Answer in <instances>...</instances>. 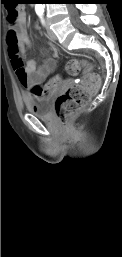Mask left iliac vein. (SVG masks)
<instances>
[{"mask_svg":"<svg viewBox=\"0 0 122 257\" xmlns=\"http://www.w3.org/2000/svg\"><path fill=\"white\" fill-rule=\"evenodd\" d=\"M46 26H47V34H48L49 39L52 41H55L57 39L56 35L53 32V30L49 27L48 21H46Z\"/></svg>","mask_w":122,"mask_h":257,"instance_id":"left-iliac-vein-1","label":"left iliac vein"}]
</instances>
